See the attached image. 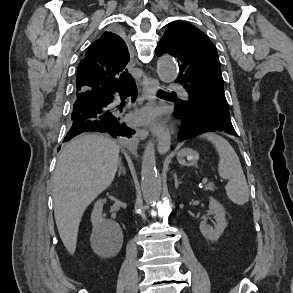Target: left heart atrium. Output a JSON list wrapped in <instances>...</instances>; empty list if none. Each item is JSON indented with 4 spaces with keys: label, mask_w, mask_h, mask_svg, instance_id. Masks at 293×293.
<instances>
[{
    "label": "left heart atrium",
    "mask_w": 293,
    "mask_h": 293,
    "mask_svg": "<svg viewBox=\"0 0 293 293\" xmlns=\"http://www.w3.org/2000/svg\"><path fill=\"white\" fill-rule=\"evenodd\" d=\"M158 116V110L154 107H147L141 110L139 113L133 116L135 122H153Z\"/></svg>",
    "instance_id": "39dd6f15"
}]
</instances>
